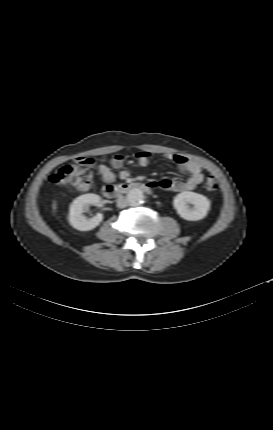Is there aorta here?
<instances>
[{"label":"aorta","instance_id":"762f6f07","mask_svg":"<svg viewBox=\"0 0 273 430\" xmlns=\"http://www.w3.org/2000/svg\"><path fill=\"white\" fill-rule=\"evenodd\" d=\"M127 202L130 206H138L143 202V192L140 189H132L127 194Z\"/></svg>","mask_w":273,"mask_h":430}]
</instances>
